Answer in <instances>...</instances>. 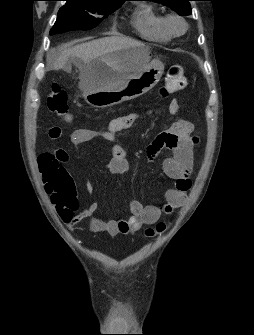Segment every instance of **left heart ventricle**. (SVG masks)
Here are the masks:
<instances>
[{"label": "left heart ventricle", "instance_id": "b2bd125f", "mask_svg": "<svg viewBox=\"0 0 254 335\" xmlns=\"http://www.w3.org/2000/svg\"><path fill=\"white\" fill-rule=\"evenodd\" d=\"M176 29H177V30H180V29H181V26H180V25H176Z\"/></svg>", "mask_w": 254, "mask_h": 335}]
</instances>
